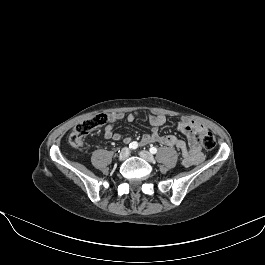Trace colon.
<instances>
[{
  "mask_svg": "<svg viewBox=\"0 0 265 265\" xmlns=\"http://www.w3.org/2000/svg\"><path fill=\"white\" fill-rule=\"evenodd\" d=\"M109 120L106 114H98L78 124L69 136V143L74 147H80L84 138ZM196 139L205 149L212 150L216 146V139L212 132L203 130L196 134Z\"/></svg>",
  "mask_w": 265,
  "mask_h": 265,
  "instance_id": "colon-1",
  "label": "colon"
}]
</instances>
